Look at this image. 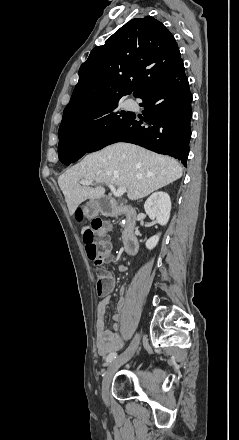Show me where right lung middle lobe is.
<instances>
[{
    "mask_svg": "<svg viewBox=\"0 0 239 440\" xmlns=\"http://www.w3.org/2000/svg\"><path fill=\"white\" fill-rule=\"evenodd\" d=\"M119 100L112 99L97 110L62 122L58 131V150L63 147L88 146L99 136L126 122L133 113L119 111Z\"/></svg>",
    "mask_w": 239,
    "mask_h": 440,
    "instance_id": "right-lung-middle-lobe-1",
    "label": "right lung middle lobe"
}]
</instances>
